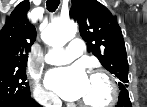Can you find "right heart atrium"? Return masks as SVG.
Instances as JSON below:
<instances>
[{
  "instance_id": "obj_1",
  "label": "right heart atrium",
  "mask_w": 147,
  "mask_h": 107,
  "mask_svg": "<svg viewBox=\"0 0 147 107\" xmlns=\"http://www.w3.org/2000/svg\"><path fill=\"white\" fill-rule=\"evenodd\" d=\"M33 97L43 105L51 106L57 103L55 95L46 90L38 81L35 82L33 87Z\"/></svg>"
}]
</instances>
